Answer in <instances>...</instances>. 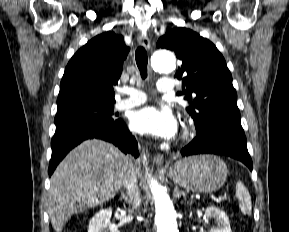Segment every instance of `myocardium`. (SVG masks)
Returning a JSON list of instances; mask_svg holds the SVG:
<instances>
[{
    "instance_id": "f54148a6",
    "label": "myocardium",
    "mask_w": 289,
    "mask_h": 232,
    "mask_svg": "<svg viewBox=\"0 0 289 232\" xmlns=\"http://www.w3.org/2000/svg\"><path fill=\"white\" fill-rule=\"evenodd\" d=\"M191 130L189 127H186L185 130H184V137L187 138L190 134Z\"/></svg>"
}]
</instances>
